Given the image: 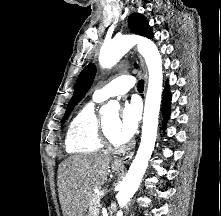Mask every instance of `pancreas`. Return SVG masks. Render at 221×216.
<instances>
[{
  "label": "pancreas",
  "mask_w": 221,
  "mask_h": 216,
  "mask_svg": "<svg viewBox=\"0 0 221 216\" xmlns=\"http://www.w3.org/2000/svg\"><path fill=\"white\" fill-rule=\"evenodd\" d=\"M101 198H102V193L92 194L89 204V213H90L89 216H98Z\"/></svg>",
  "instance_id": "obj_1"
}]
</instances>
